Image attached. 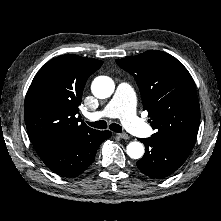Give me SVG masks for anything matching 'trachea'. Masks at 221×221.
<instances>
[{"label":"trachea","mask_w":221,"mask_h":221,"mask_svg":"<svg viewBox=\"0 0 221 221\" xmlns=\"http://www.w3.org/2000/svg\"><path fill=\"white\" fill-rule=\"evenodd\" d=\"M88 125H90L93 128L97 129H105L107 128V123L105 121H96V122H87ZM110 130L121 133L122 127L119 124L112 123L109 125Z\"/></svg>","instance_id":"3493384b"}]
</instances>
